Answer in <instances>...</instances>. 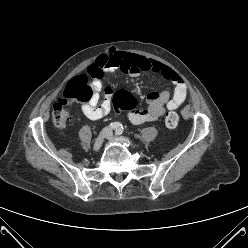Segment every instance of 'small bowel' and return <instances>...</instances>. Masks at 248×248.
Wrapping results in <instances>:
<instances>
[{"label": "small bowel", "mask_w": 248, "mask_h": 248, "mask_svg": "<svg viewBox=\"0 0 248 248\" xmlns=\"http://www.w3.org/2000/svg\"><path fill=\"white\" fill-rule=\"evenodd\" d=\"M91 66L107 72L120 70L130 73L133 77H139L142 72H154L174 85L173 93L168 90L149 93L147 95L148 108L142 110L132 108L128 113V118L133 124L154 121L166 111L177 109L186 98L187 86L183 78L172 68L158 61L123 52H112L101 57ZM91 86L94 92L93 97L82 105V111L89 119L98 120L110 112V100L114 91L111 87H106L104 89L105 99L98 106L99 93L103 90L100 78L93 80Z\"/></svg>", "instance_id": "obj_1"}]
</instances>
